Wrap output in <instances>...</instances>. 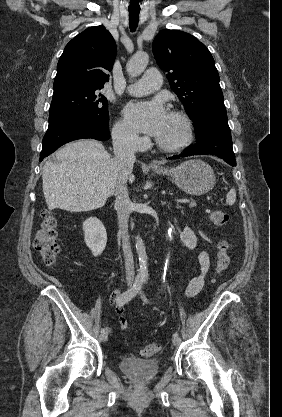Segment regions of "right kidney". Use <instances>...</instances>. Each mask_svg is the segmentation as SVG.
I'll return each instance as SVG.
<instances>
[{
  "label": "right kidney",
  "mask_w": 282,
  "mask_h": 417,
  "mask_svg": "<svg viewBox=\"0 0 282 417\" xmlns=\"http://www.w3.org/2000/svg\"><path fill=\"white\" fill-rule=\"evenodd\" d=\"M84 241L89 247L93 257L103 253L107 243L106 229L96 217H89L83 223Z\"/></svg>",
  "instance_id": "right-kidney-1"
}]
</instances>
